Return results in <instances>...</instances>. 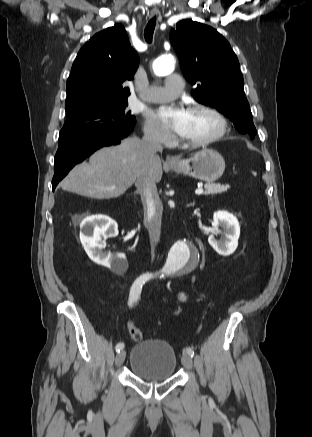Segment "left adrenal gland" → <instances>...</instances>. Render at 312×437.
<instances>
[{"label":"left adrenal gland","mask_w":312,"mask_h":437,"mask_svg":"<svg viewBox=\"0 0 312 437\" xmlns=\"http://www.w3.org/2000/svg\"><path fill=\"white\" fill-rule=\"evenodd\" d=\"M194 204H189L188 206H193Z\"/></svg>","instance_id":"obj_1"}]
</instances>
